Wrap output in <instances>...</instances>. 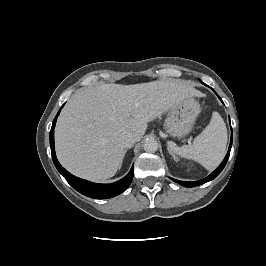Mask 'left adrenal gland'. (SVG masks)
I'll return each mask as SVG.
<instances>
[{"label": "left adrenal gland", "mask_w": 266, "mask_h": 266, "mask_svg": "<svg viewBox=\"0 0 266 266\" xmlns=\"http://www.w3.org/2000/svg\"><path fill=\"white\" fill-rule=\"evenodd\" d=\"M169 153L173 156L174 160L177 161V157L173 154L169 147H167Z\"/></svg>", "instance_id": "a2214340"}]
</instances>
